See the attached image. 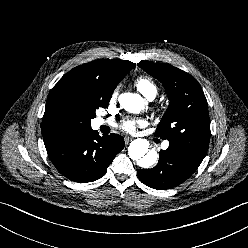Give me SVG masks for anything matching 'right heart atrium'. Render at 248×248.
<instances>
[{
	"mask_svg": "<svg viewBox=\"0 0 248 248\" xmlns=\"http://www.w3.org/2000/svg\"><path fill=\"white\" fill-rule=\"evenodd\" d=\"M117 98V90H115L112 94V100H115Z\"/></svg>",
	"mask_w": 248,
	"mask_h": 248,
	"instance_id": "1",
	"label": "right heart atrium"
}]
</instances>
